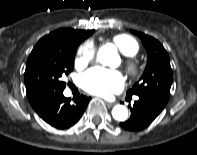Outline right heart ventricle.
<instances>
[{
  "mask_svg": "<svg viewBox=\"0 0 197 155\" xmlns=\"http://www.w3.org/2000/svg\"><path fill=\"white\" fill-rule=\"evenodd\" d=\"M113 43L122 54L128 57L135 56L139 51L138 42L131 36L126 34L116 35L112 39Z\"/></svg>",
  "mask_w": 197,
  "mask_h": 155,
  "instance_id": "e07e8e85",
  "label": "right heart ventricle"
}]
</instances>
